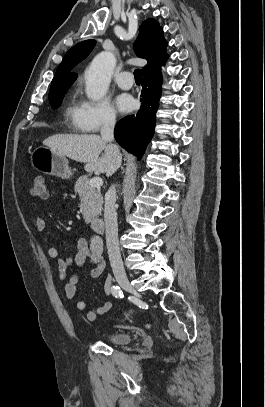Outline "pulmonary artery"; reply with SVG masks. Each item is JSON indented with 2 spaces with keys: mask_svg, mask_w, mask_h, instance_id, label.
I'll return each instance as SVG.
<instances>
[{
  "mask_svg": "<svg viewBox=\"0 0 265 407\" xmlns=\"http://www.w3.org/2000/svg\"><path fill=\"white\" fill-rule=\"evenodd\" d=\"M117 85L123 89H131L134 85V79L129 71H122L116 78Z\"/></svg>",
  "mask_w": 265,
  "mask_h": 407,
  "instance_id": "e3ab8cb5",
  "label": "pulmonary artery"
}]
</instances>
